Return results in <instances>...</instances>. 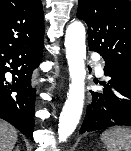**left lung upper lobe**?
Returning a JSON list of instances; mask_svg holds the SVG:
<instances>
[{
  "instance_id": "obj_1",
  "label": "left lung upper lobe",
  "mask_w": 131,
  "mask_h": 151,
  "mask_svg": "<svg viewBox=\"0 0 131 151\" xmlns=\"http://www.w3.org/2000/svg\"><path fill=\"white\" fill-rule=\"evenodd\" d=\"M77 17L88 25L89 50L106 64L131 74V2L79 0Z\"/></svg>"
}]
</instances>
